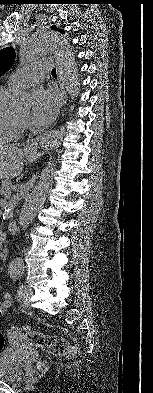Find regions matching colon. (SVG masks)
<instances>
[{"mask_svg": "<svg viewBox=\"0 0 153 393\" xmlns=\"http://www.w3.org/2000/svg\"><path fill=\"white\" fill-rule=\"evenodd\" d=\"M5 307L4 303L0 302V308ZM15 328L11 329L13 334ZM23 335L28 340V343L34 347L41 348L45 352L54 356H66L69 358L78 357L80 350L76 345L66 342L63 338L57 336L45 335L37 332H31L26 329ZM6 339L5 336L0 333V351L5 348Z\"/></svg>", "mask_w": 153, "mask_h": 393, "instance_id": "1", "label": "colon"}]
</instances>
